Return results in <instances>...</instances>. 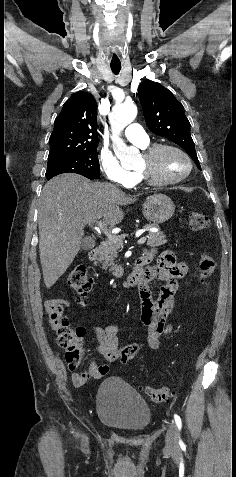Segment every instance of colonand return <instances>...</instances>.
Wrapping results in <instances>:
<instances>
[{
  "instance_id": "5ec220e1",
  "label": "colon",
  "mask_w": 236,
  "mask_h": 477,
  "mask_svg": "<svg viewBox=\"0 0 236 477\" xmlns=\"http://www.w3.org/2000/svg\"><path fill=\"white\" fill-rule=\"evenodd\" d=\"M191 232L197 233L206 230L209 227L208 217L201 212H191L188 221ZM215 264L210 255L202 254L198 263L199 275L203 280H207L214 272ZM180 274H184L183 265H178ZM68 286L77 294V301L84 303L92 289V280L88 275L87 269L82 265L73 266L67 277ZM57 340L59 345L65 349V361L69 369H77L83 359L84 346L82 343L83 331L74 328L69 320L63 315L58 319ZM138 352L137 344L125 346L119 360L121 363H127L134 359ZM146 396L155 403H165L174 396V390L171 387L154 388L145 386L143 388Z\"/></svg>"
}]
</instances>
